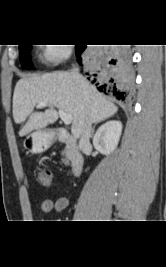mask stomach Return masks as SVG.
<instances>
[{"label": "stomach", "instance_id": "0dacf381", "mask_svg": "<svg viewBox=\"0 0 166 267\" xmlns=\"http://www.w3.org/2000/svg\"><path fill=\"white\" fill-rule=\"evenodd\" d=\"M54 135L49 130H37L24 140V147L34 154L46 151L53 143Z\"/></svg>", "mask_w": 166, "mask_h": 267}]
</instances>
